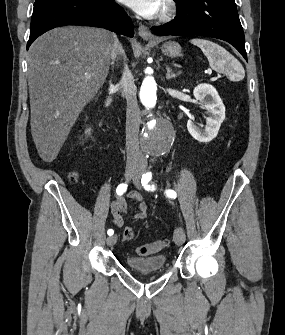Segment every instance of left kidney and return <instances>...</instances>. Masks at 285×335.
Wrapping results in <instances>:
<instances>
[{
  "instance_id": "5707ae66",
  "label": "left kidney",
  "mask_w": 285,
  "mask_h": 335,
  "mask_svg": "<svg viewBox=\"0 0 285 335\" xmlns=\"http://www.w3.org/2000/svg\"><path fill=\"white\" fill-rule=\"evenodd\" d=\"M193 94L196 100H200L204 108H207L209 118H206L205 130H201V128L195 126L192 120H188L187 130L195 140L208 144L213 138H216L220 126L223 120H225V106L217 90L211 84H199V86L194 88Z\"/></svg>"
}]
</instances>
